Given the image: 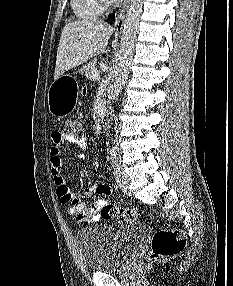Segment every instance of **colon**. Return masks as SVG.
Here are the masks:
<instances>
[{"mask_svg": "<svg viewBox=\"0 0 233 286\" xmlns=\"http://www.w3.org/2000/svg\"><path fill=\"white\" fill-rule=\"evenodd\" d=\"M83 117L79 114L64 119L57 131L61 137L79 138L83 132ZM76 201L72 202L75 206ZM100 216L106 220L115 223H132L137 219V212L131 209H115L110 205L101 207ZM80 216L86 220L89 219V212H81ZM186 238L184 233L176 228L158 230L152 241V259L166 258L178 253L185 245Z\"/></svg>", "mask_w": 233, "mask_h": 286, "instance_id": "obj_1", "label": "colon"}]
</instances>
